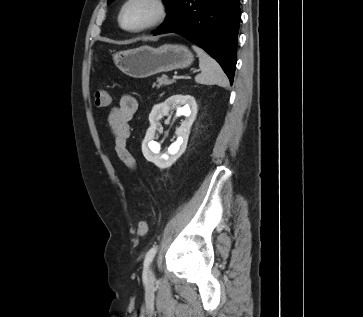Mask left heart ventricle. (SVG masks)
Instances as JSON below:
<instances>
[{
    "label": "left heart ventricle",
    "mask_w": 363,
    "mask_h": 317,
    "mask_svg": "<svg viewBox=\"0 0 363 317\" xmlns=\"http://www.w3.org/2000/svg\"><path fill=\"white\" fill-rule=\"evenodd\" d=\"M154 14L151 4L138 0L129 5L123 15V25L127 28L138 27L147 22Z\"/></svg>",
    "instance_id": "b2bd125f"
}]
</instances>
